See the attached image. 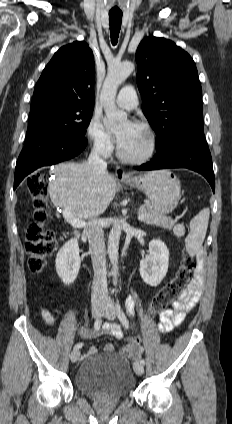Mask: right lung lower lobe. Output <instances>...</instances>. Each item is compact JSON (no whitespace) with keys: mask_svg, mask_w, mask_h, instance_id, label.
I'll list each match as a JSON object with an SVG mask.
<instances>
[{"mask_svg":"<svg viewBox=\"0 0 232 424\" xmlns=\"http://www.w3.org/2000/svg\"><path fill=\"white\" fill-rule=\"evenodd\" d=\"M87 140L53 134H36L26 139L16 163L14 189L31 172L42 166L53 165L77 156Z\"/></svg>","mask_w":232,"mask_h":424,"instance_id":"right-lung-lower-lobe-1","label":"right lung lower lobe"}]
</instances>
